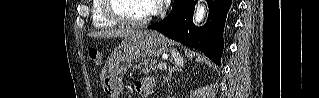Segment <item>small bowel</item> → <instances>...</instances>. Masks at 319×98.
Returning <instances> with one entry per match:
<instances>
[{"label": "small bowel", "mask_w": 319, "mask_h": 98, "mask_svg": "<svg viewBox=\"0 0 319 98\" xmlns=\"http://www.w3.org/2000/svg\"><path fill=\"white\" fill-rule=\"evenodd\" d=\"M153 86V78L147 77L135 83V91L137 92L139 97H146V95L152 90Z\"/></svg>", "instance_id": "small-bowel-1"}]
</instances>
